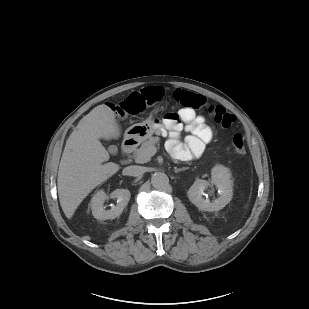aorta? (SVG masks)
Wrapping results in <instances>:
<instances>
[{
    "mask_svg": "<svg viewBox=\"0 0 309 309\" xmlns=\"http://www.w3.org/2000/svg\"><path fill=\"white\" fill-rule=\"evenodd\" d=\"M151 184L156 189H164L169 184V178L165 173L157 172L152 175Z\"/></svg>",
    "mask_w": 309,
    "mask_h": 309,
    "instance_id": "1",
    "label": "aorta"
}]
</instances>
